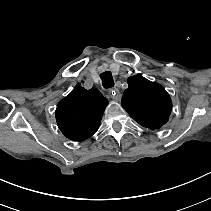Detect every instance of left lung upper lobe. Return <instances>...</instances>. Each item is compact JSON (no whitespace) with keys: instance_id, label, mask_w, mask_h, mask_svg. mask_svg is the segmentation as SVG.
<instances>
[{"instance_id":"obj_1","label":"left lung upper lobe","mask_w":211,"mask_h":211,"mask_svg":"<svg viewBox=\"0 0 211 211\" xmlns=\"http://www.w3.org/2000/svg\"><path fill=\"white\" fill-rule=\"evenodd\" d=\"M121 104L137 123L152 130L161 128L169 120L172 109L165 88L141 75L128 78Z\"/></svg>"}]
</instances>
